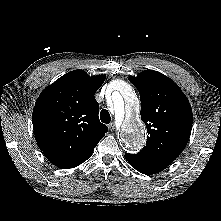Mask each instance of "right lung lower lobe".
<instances>
[{
    "instance_id": "obj_1",
    "label": "right lung lower lobe",
    "mask_w": 221,
    "mask_h": 221,
    "mask_svg": "<svg viewBox=\"0 0 221 221\" xmlns=\"http://www.w3.org/2000/svg\"><path fill=\"white\" fill-rule=\"evenodd\" d=\"M90 156H91V155H90ZM90 156H89V157H90ZM89 157H88V158H89ZM88 158L84 159L83 161H81V162H79V163H76L73 167H76V166L80 165L81 163H83L84 161H86ZM73 167H71V168H73Z\"/></svg>"
}]
</instances>
